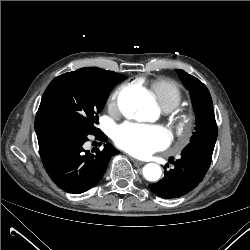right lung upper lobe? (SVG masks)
<instances>
[{"instance_id":"obj_1","label":"right lung upper lobe","mask_w":250,"mask_h":250,"mask_svg":"<svg viewBox=\"0 0 250 250\" xmlns=\"http://www.w3.org/2000/svg\"><path fill=\"white\" fill-rule=\"evenodd\" d=\"M112 73L111 71H106L103 69L95 68V67H89V68H81L78 69L74 72H68L65 74H97V75H105V74H110ZM62 74V75H65Z\"/></svg>"}]
</instances>
